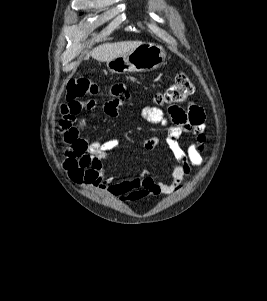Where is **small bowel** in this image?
<instances>
[{"mask_svg":"<svg viewBox=\"0 0 267 301\" xmlns=\"http://www.w3.org/2000/svg\"><path fill=\"white\" fill-rule=\"evenodd\" d=\"M112 99L103 106V112L108 117H115L118 110L128 99L129 94L122 85L112 87ZM96 101L67 100L62 104L60 111L62 119L59 131L66 145L63 166L73 182L86 188L100 189L122 201L137 202L158 195H170L182 187L185 179L191 174L193 168L203 164L202 151L206 139L204 112L197 105H190L187 109L170 106L167 114L156 107H144L141 117L149 123L167 127L166 144L174 159L171 181L164 182L141 172L138 176L114 180L104 172V160L108 154L117 147L119 141H88L80 136V129L84 121L78 116L83 110H93ZM189 134L193 142L183 146L180 138ZM159 143L156 136L145 140L144 148L153 150Z\"/></svg>","mask_w":267,"mask_h":301,"instance_id":"c3829d8e","label":"small bowel"}]
</instances>
